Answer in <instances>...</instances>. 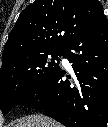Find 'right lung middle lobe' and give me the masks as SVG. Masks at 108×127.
Segmentation results:
<instances>
[{"label":"right lung middle lobe","mask_w":108,"mask_h":127,"mask_svg":"<svg viewBox=\"0 0 108 127\" xmlns=\"http://www.w3.org/2000/svg\"><path fill=\"white\" fill-rule=\"evenodd\" d=\"M64 50L26 54L11 59L0 71V108L5 115L14 105L43 85L59 67ZM51 55L52 58H48Z\"/></svg>","instance_id":"obj_1"}]
</instances>
